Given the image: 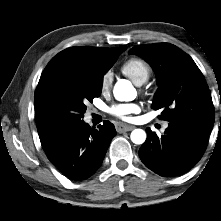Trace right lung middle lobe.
<instances>
[{
    "label": "right lung middle lobe",
    "mask_w": 221,
    "mask_h": 221,
    "mask_svg": "<svg viewBox=\"0 0 221 221\" xmlns=\"http://www.w3.org/2000/svg\"><path fill=\"white\" fill-rule=\"evenodd\" d=\"M115 62L65 65L41 75L34 98L39 135L57 137L82 121L85 104L100 96L103 75Z\"/></svg>",
    "instance_id": "right-lung-middle-lobe-1"
}]
</instances>
